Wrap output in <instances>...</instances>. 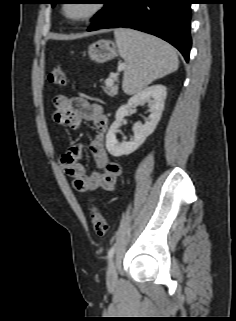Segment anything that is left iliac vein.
<instances>
[{"instance_id": "4c4485c4", "label": "left iliac vein", "mask_w": 236, "mask_h": 321, "mask_svg": "<svg viewBox=\"0 0 236 321\" xmlns=\"http://www.w3.org/2000/svg\"><path fill=\"white\" fill-rule=\"evenodd\" d=\"M107 282L109 285H114L117 282V270L114 260H111L108 265Z\"/></svg>"}]
</instances>
